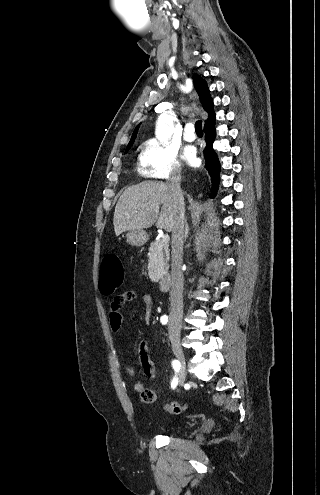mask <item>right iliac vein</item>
I'll return each mask as SVG.
<instances>
[{
    "mask_svg": "<svg viewBox=\"0 0 320 495\" xmlns=\"http://www.w3.org/2000/svg\"><path fill=\"white\" fill-rule=\"evenodd\" d=\"M170 341L172 344L174 354L176 355L178 361L180 362V370L178 374L179 385H183L186 378V360H185L184 351L181 347L179 334L176 332H172L170 334Z\"/></svg>",
    "mask_w": 320,
    "mask_h": 495,
    "instance_id": "right-iliac-vein-1",
    "label": "right iliac vein"
}]
</instances>
